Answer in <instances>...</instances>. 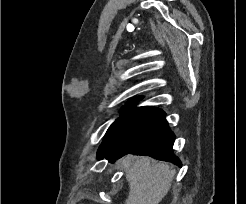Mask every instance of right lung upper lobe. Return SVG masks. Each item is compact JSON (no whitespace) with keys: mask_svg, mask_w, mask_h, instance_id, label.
Returning a JSON list of instances; mask_svg holds the SVG:
<instances>
[{"mask_svg":"<svg viewBox=\"0 0 246 204\" xmlns=\"http://www.w3.org/2000/svg\"><path fill=\"white\" fill-rule=\"evenodd\" d=\"M141 98H142V97H136V98H133V99H132V100H130V101L137 102V101H139Z\"/></svg>","mask_w":246,"mask_h":204,"instance_id":"obj_1","label":"right lung upper lobe"}]
</instances>
